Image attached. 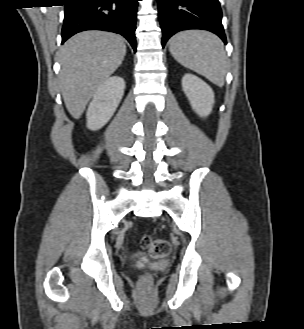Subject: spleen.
Wrapping results in <instances>:
<instances>
[{
    "instance_id": "obj_1",
    "label": "spleen",
    "mask_w": 304,
    "mask_h": 329,
    "mask_svg": "<svg viewBox=\"0 0 304 329\" xmlns=\"http://www.w3.org/2000/svg\"><path fill=\"white\" fill-rule=\"evenodd\" d=\"M169 51L181 65L222 87L227 57L222 41L207 31H182L170 39Z\"/></svg>"
}]
</instances>
